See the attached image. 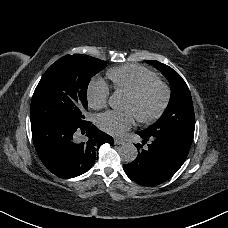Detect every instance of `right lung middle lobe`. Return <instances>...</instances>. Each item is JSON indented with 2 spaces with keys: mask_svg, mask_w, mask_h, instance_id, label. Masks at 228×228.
I'll return each mask as SVG.
<instances>
[{
  "mask_svg": "<svg viewBox=\"0 0 228 228\" xmlns=\"http://www.w3.org/2000/svg\"><path fill=\"white\" fill-rule=\"evenodd\" d=\"M105 67V61L82 54L57 60L46 70L34 91L31 123L54 120L76 126L84 124L88 84Z\"/></svg>",
  "mask_w": 228,
  "mask_h": 228,
  "instance_id": "dd1d6c3e",
  "label": "right lung middle lobe"
}]
</instances>
